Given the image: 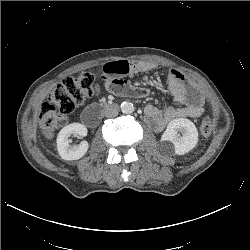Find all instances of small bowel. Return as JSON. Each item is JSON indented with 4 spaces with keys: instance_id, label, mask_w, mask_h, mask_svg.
Wrapping results in <instances>:
<instances>
[{
    "instance_id": "c3829d8e",
    "label": "small bowel",
    "mask_w": 250,
    "mask_h": 250,
    "mask_svg": "<svg viewBox=\"0 0 250 250\" xmlns=\"http://www.w3.org/2000/svg\"><path fill=\"white\" fill-rule=\"evenodd\" d=\"M151 69H153V65L150 63L113 61L103 66L100 77L105 87L114 94L141 98L147 96L149 90L129 85L124 77ZM167 90L173 100L181 106H170L164 111L154 105L146 106L145 119L155 131H162L175 119L196 118L203 114L204 98L195 84L187 81L184 74L174 69L170 70L167 77Z\"/></svg>"
}]
</instances>
